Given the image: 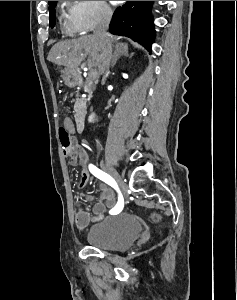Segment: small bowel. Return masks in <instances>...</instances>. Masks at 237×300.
Segmentation results:
<instances>
[{
	"mask_svg": "<svg viewBox=\"0 0 237 300\" xmlns=\"http://www.w3.org/2000/svg\"><path fill=\"white\" fill-rule=\"evenodd\" d=\"M63 127L69 133H75L76 127L72 119L66 118L63 122ZM66 157L69 158L71 165L80 168V178L77 183L78 189H82L88 179L89 171L87 169L88 155L86 150L79 144H77L73 149L69 151H64ZM87 201H93L95 199L94 195H87L85 197ZM117 201L116 194L114 190L105 183H100L98 187V201L92 207V214L83 206L81 201L76 202V212H75V225L78 229H85L90 222L97 221L103 218L107 211L113 210Z\"/></svg>",
	"mask_w": 237,
	"mask_h": 300,
	"instance_id": "c3829d8e",
	"label": "small bowel"
}]
</instances>
